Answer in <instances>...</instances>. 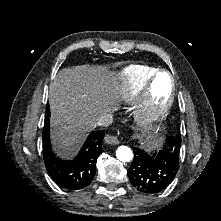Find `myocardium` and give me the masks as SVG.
<instances>
[{"label": "myocardium", "instance_id": "1", "mask_svg": "<svg viewBox=\"0 0 221 221\" xmlns=\"http://www.w3.org/2000/svg\"><path fill=\"white\" fill-rule=\"evenodd\" d=\"M161 74H166L170 80V93L165 103L160 106H155L152 99V89L157 77ZM175 97V82L172 74L167 70H158L150 79L148 85L145 87L139 105L135 112L137 122L143 126H150L161 119L170 110Z\"/></svg>", "mask_w": 221, "mask_h": 221}]
</instances>
